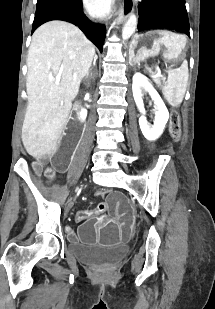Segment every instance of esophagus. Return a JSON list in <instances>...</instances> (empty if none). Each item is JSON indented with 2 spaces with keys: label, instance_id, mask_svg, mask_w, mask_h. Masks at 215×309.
I'll use <instances>...</instances> for the list:
<instances>
[{
  "label": "esophagus",
  "instance_id": "obj_1",
  "mask_svg": "<svg viewBox=\"0 0 215 309\" xmlns=\"http://www.w3.org/2000/svg\"><path fill=\"white\" fill-rule=\"evenodd\" d=\"M134 11V0H122L118 20L124 22Z\"/></svg>",
  "mask_w": 215,
  "mask_h": 309
}]
</instances>
